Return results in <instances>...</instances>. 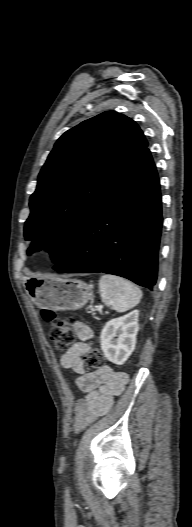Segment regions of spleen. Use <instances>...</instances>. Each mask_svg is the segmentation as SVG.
<instances>
[{
  "label": "spleen",
  "instance_id": "3e777b00",
  "mask_svg": "<svg viewBox=\"0 0 192 527\" xmlns=\"http://www.w3.org/2000/svg\"><path fill=\"white\" fill-rule=\"evenodd\" d=\"M102 302L117 312L135 307L142 297V291L132 283L118 276L103 275L99 280Z\"/></svg>",
  "mask_w": 192,
  "mask_h": 527
}]
</instances>
